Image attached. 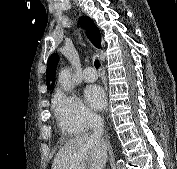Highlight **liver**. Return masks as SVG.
<instances>
[{
  "instance_id": "1",
  "label": "liver",
  "mask_w": 177,
  "mask_h": 169,
  "mask_svg": "<svg viewBox=\"0 0 177 169\" xmlns=\"http://www.w3.org/2000/svg\"><path fill=\"white\" fill-rule=\"evenodd\" d=\"M108 141L86 133L69 140L57 153L51 169H104Z\"/></svg>"
}]
</instances>
